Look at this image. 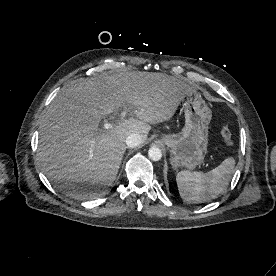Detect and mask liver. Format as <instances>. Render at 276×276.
Here are the masks:
<instances>
[{"instance_id":"1","label":"liver","mask_w":276,"mask_h":276,"mask_svg":"<svg viewBox=\"0 0 276 276\" xmlns=\"http://www.w3.org/2000/svg\"><path fill=\"white\" fill-rule=\"evenodd\" d=\"M195 89L175 77L152 72H121L99 79H79L63 87L39 127L38 158L47 178L75 199L100 197L116 179L126 138L142 143L150 124L169 120ZM123 108L136 118L121 119L109 129L102 118Z\"/></svg>"}]
</instances>
